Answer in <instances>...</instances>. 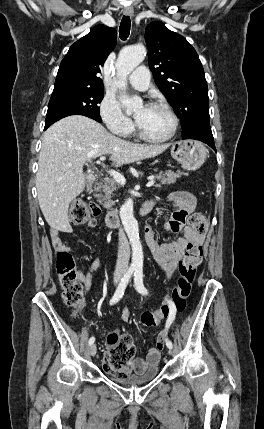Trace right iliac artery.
Wrapping results in <instances>:
<instances>
[{"mask_svg": "<svg viewBox=\"0 0 264 429\" xmlns=\"http://www.w3.org/2000/svg\"><path fill=\"white\" fill-rule=\"evenodd\" d=\"M133 272H134V269L133 268H129L128 271L126 272V274L123 276V278L121 279V281H120V283L118 285V288H117L116 292L114 293L113 297L110 300V305L116 304L122 298V296L124 294V291L126 289V286H127L128 282H129V280H130ZM94 341H95V338L91 337L89 339V345L93 344Z\"/></svg>", "mask_w": 264, "mask_h": 429, "instance_id": "1", "label": "right iliac artery"}]
</instances>
